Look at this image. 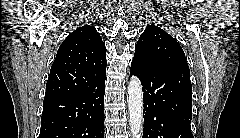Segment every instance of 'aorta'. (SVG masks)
I'll return each mask as SVG.
<instances>
[{
  "instance_id": "obj_1",
  "label": "aorta",
  "mask_w": 240,
  "mask_h": 138,
  "mask_svg": "<svg viewBox=\"0 0 240 138\" xmlns=\"http://www.w3.org/2000/svg\"><path fill=\"white\" fill-rule=\"evenodd\" d=\"M127 102L131 135L133 138H141L143 135V91L137 77H132L129 82Z\"/></svg>"
}]
</instances>
